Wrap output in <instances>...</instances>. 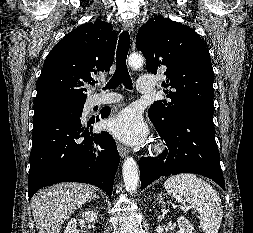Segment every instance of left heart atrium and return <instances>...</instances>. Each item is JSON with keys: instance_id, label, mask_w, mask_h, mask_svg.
Masks as SVG:
<instances>
[{"instance_id": "39dd6f15", "label": "left heart atrium", "mask_w": 253, "mask_h": 233, "mask_svg": "<svg viewBox=\"0 0 253 233\" xmlns=\"http://www.w3.org/2000/svg\"><path fill=\"white\" fill-rule=\"evenodd\" d=\"M106 127L115 137L129 144L141 143L148 133L141 114L132 108L125 109L112 118Z\"/></svg>"}]
</instances>
